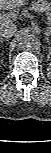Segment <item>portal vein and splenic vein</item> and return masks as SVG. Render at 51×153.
Listing matches in <instances>:
<instances>
[{
	"instance_id": "obj_1",
	"label": "portal vein and splenic vein",
	"mask_w": 51,
	"mask_h": 153,
	"mask_svg": "<svg viewBox=\"0 0 51 153\" xmlns=\"http://www.w3.org/2000/svg\"><path fill=\"white\" fill-rule=\"evenodd\" d=\"M9 17H10V18H16V15H15V14H10ZM1 20H2V21H5V20H9V18H8V16H6V15H2V16H1Z\"/></svg>"
}]
</instances>
